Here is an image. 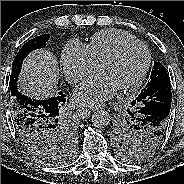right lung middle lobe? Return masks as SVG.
Listing matches in <instances>:
<instances>
[{
	"mask_svg": "<svg viewBox=\"0 0 184 184\" xmlns=\"http://www.w3.org/2000/svg\"><path fill=\"white\" fill-rule=\"evenodd\" d=\"M49 37L48 34H43L29 40L16 55L12 64V73L10 76L11 95L18 91V75L24 58L33 50L44 48ZM42 133L44 135L43 138H38L36 140L35 138L32 140H21L31 155L41 162L46 164L62 162L64 158L63 155H66V149L71 150L75 143V132L67 122L63 112H57L49 116Z\"/></svg>",
	"mask_w": 184,
	"mask_h": 184,
	"instance_id": "1",
	"label": "right lung middle lobe"
}]
</instances>
